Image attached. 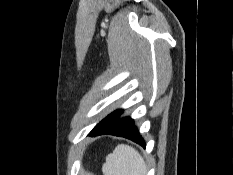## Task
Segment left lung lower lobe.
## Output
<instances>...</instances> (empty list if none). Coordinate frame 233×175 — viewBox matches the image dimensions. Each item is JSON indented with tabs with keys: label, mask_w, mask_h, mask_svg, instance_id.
Here are the masks:
<instances>
[{
	"label": "left lung lower lobe",
	"mask_w": 233,
	"mask_h": 175,
	"mask_svg": "<svg viewBox=\"0 0 233 175\" xmlns=\"http://www.w3.org/2000/svg\"><path fill=\"white\" fill-rule=\"evenodd\" d=\"M122 112V109H118L109 114L95 126L89 135L110 134L120 136L130 139L145 147V142L139 134L138 129L134 126L133 120L130 117L120 118V114Z\"/></svg>",
	"instance_id": "left-lung-lower-lobe-1"
}]
</instances>
